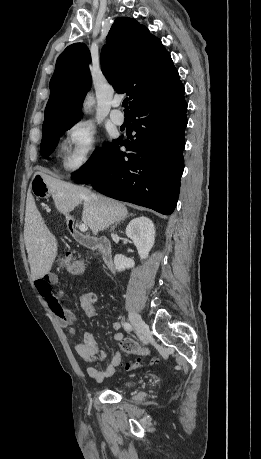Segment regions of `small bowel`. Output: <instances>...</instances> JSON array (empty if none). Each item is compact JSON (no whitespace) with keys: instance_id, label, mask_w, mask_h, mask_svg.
Wrapping results in <instances>:
<instances>
[{"instance_id":"1","label":"small bowel","mask_w":261,"mask_h":459,"mask_svg":"<svg viewBox=\"0 0 261 459\" xmlns=\"http://www.w3.org/2000/svg\"><path fill=\"white\" fill-rule=\"evenodd\" d=\"M59 282V277L53 273H48L42 277H39L35 280L34 284L41 295L42 299L49 307L58 323L63 328H68L72 335L76 334L75 326L78 324L76 316L66 310L60 302L58 295L53 290V285ZM87 291L83 292L86 293ZM82 295L80 298V306L83 312L88 317H93L96 315V310L94 305L86 304ZM113 330V340L120 341L123 338L121 332V323L115 321L112 324ZM74 349L77 355L87 364V374L88 376L96 381L102 382L106 378L110 377L114 372L117 366L121 363V353L117 351L108 366L104 370H100L94 366H91L94 362H103L106 359V354L100 349L95 338L88 331H81L79 333V339L74 344Z\"/></svg>"}]
</instances>
